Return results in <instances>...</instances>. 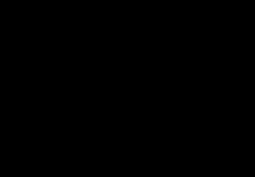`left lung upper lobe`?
I'll use <instances>...</instances> for the list:
<instances>
[{
	"label": "left lung upper lobe",
	"mask_w": 255,
	"mask_h": 177,
	"mask_svg": "<svg viewBox=\"0 0 255 177\" xmlns=\"http://www.w3.org/2000/svg\"><path fill=\"white\" fill-rule=\"evenodd\" d=\"M151 46L155 59L162 69L161 75L155 76L159 89L160 113L166 121H172L177 113L179 93L172 83L168 66L174 58L175 50L167 40L158 36L151 40Z\"/></svg>",
	"instance_id": "obj_1"
}]
</instances>
